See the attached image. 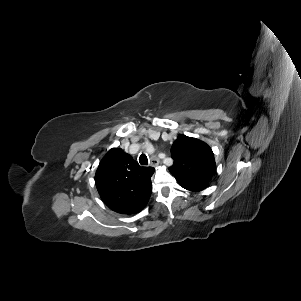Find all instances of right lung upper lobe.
Returning <instances> with one entry per match:
<instances>
[{"mask_svg": "<svg viewBox=\"0 0 301 301\" xmlns=\"http://www.w3.org/2000/svg\"><path fill=\"white\" fill-rule=\"evenodd\" d=\"M153 167H141L120 148H112L101 160L95 184L104 203L121 214H136L147 204Z\"/></svg>", "mask_w": 301, "mask_h": 301, "instance_id": "obj_1", "label": "right lung upper lobe"}]
</instances>
